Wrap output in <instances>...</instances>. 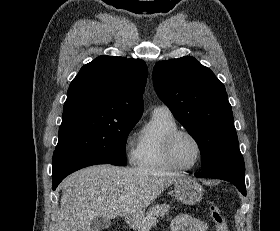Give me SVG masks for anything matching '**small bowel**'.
<instances>
[{"label": "small bowel", "mask_w": 280, "mask_h": 231, "mask_svg": "<svg viewBox=\"0 0 280 231\" xmlns=\"http://www.w3.org/2000/svg\"><path fill=\"white\" fill-rule=\"evenodd\" d=\"M207 225L204 221L189 215L180 214L171 223V231H206Z\"/></svg>", "instance_id": "small-bowel-1"}]
</instances>
